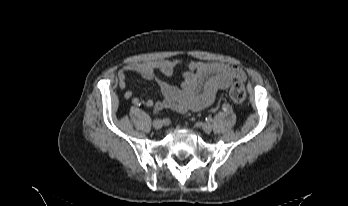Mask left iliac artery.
<instances>
[{
	"label": "left iliac artery",
	"instance_id": "left-iliac-artery-1",
	"mask_svg": "<svg viewBox=\"0 0 348 206\" xmlns=\"http://www.w3.org/2000/svg\"><path fill=\"white\" fill-rule=\"evenodd\" d=\"M230 109H231L230 104H229V103H224V105H223V110H224L225 112H228Z\"/></svg>",
	"mask_w": 348,
	"mask_h": 206
}]
</instances>
